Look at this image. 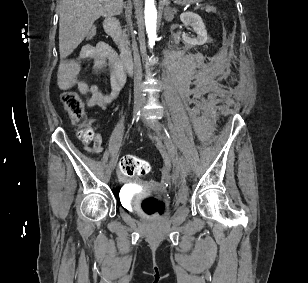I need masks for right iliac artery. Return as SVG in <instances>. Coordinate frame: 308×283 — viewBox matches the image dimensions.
<instances>
[{
	"label": "right iliac artery",
	"instance_id": "obj_1",
	"mask_svg": "<svg viewBox=\"0 0 308 283\" xmlns=\"http://www.w3.org/2000/svg\"><path fill=\"white\" fill-rule=\"evenodd\" d=\"M140 115V112L137 113V116ZM139 117L133 118L132 124L134 123V121H138Z\"/></svg>",
	"mask_w": 308,
	"mask_h": 283
}]
</instances>
